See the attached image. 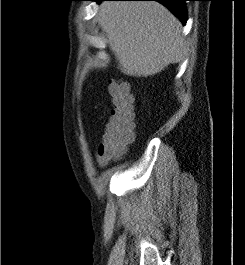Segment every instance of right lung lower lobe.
I'll return each instance as SVG.
<instances>
[{"label":"right lung lower lobe","instance_id":"obj_1","mask_svg":"<svg viewBox=\"0 0 245 265\" xmlns=\"http://www.w3.org/2000/svg\"><path fill=\"white\" fill-rule=\"evenodd\" d=\"M91 1H107V0H91ZM124 1H158L169 8L174 15H176L183 24L187 21V10L184 2L187 0H124Z\"/></svg>","mask_w":245,"mask_h":265}]
</instances>
